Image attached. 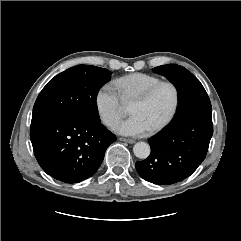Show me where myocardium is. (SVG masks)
<instances>
[{"mask_svg":"<svg viewBox=\"0 0 241 241\" xmlns=\"http://www.w3.org/2000/svg\"><path fill=\"white\" fill-rule=\"evenodd\" d=\"M164 86H168L173 90L174 104L169 115L160 124L151 128L149 130L150 133H158L162 131L168 125H170V123L174 120L180 106V90L178 86L172 81H160L155 85L151 86L149 89H147L145 92L137 96L132 101V103H139V104L145 103L149 101L161 87H164Z\"/></svg>","mask_w":241,"mask_h":241,"instance_id":"obj_1","label":"myocardium"}]
</instances>
